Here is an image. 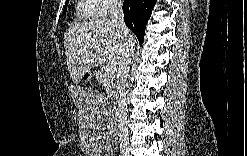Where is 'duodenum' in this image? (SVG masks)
<instances>
[{"label":"duodenum","instance_id":"duodenum-1","mask_svg":"<svg viewBox=\"0 0 247 156\" xmlns=\"http://www.w3.org/2000/svg\"><path fill=\"white\" fill-rule=\"evenodd\" d=\"M119 104H120V98L117 97L116 100L114 101V104H113L115 115H118Z\"/></svg>","mask_w":247,"mask_h":156}]
</instances>
